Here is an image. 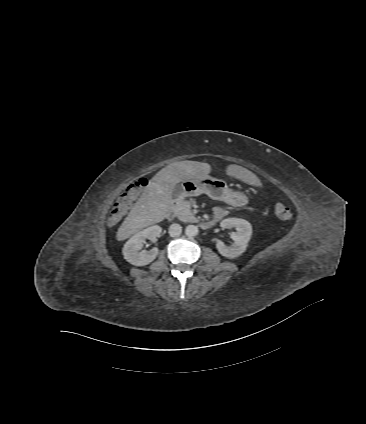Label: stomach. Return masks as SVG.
Listing matches in <instances>:
<instances>
[{
	"mask_svg": "<svg viewBox=\"0 0 366 424\" xmlns=\"http://www.w3.org/2000/svg\"><path fill=\"white\" fill-rule=\"evenodd\" d=\"M182 195L198 196L206 194L213 200L223 201L229 205H237L240 200L247 201L244 195L231 191L223 180L211 176H201L195 180L184 181L181 185Z\"/></svg>",
	"mask_w": 366,
	"mask_h": 424,
	"instance_id": "1",
	"label": "stomach"
}]
</instances>
